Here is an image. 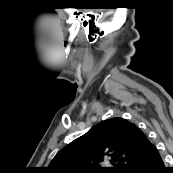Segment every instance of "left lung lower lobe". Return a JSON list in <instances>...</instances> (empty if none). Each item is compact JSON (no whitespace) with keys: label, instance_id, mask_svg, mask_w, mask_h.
Here are the masks:
<instances>
[{"label":"left lung lower lobe","instance_id":"1","mask_svg":"<svg viewBox=\"0 0 173 173\" xmlns=\"http://www.w3.org/2000/svg\"><path fill=\"white\" fill-rule=\"evenodd\" d=\"M157 147L149 141L147 149L137 159L129 173H167Z\"/></svg>","mask_w":173,"mask_h":173}]
</instances>
